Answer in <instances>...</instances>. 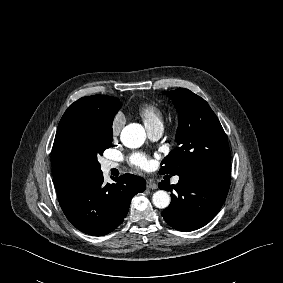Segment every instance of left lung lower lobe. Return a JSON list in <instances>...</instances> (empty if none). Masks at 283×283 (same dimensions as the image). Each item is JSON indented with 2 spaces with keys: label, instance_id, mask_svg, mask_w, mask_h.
<instances>
[{
  "label": "left lung lower lobe",
  "instance_id": "0a47b994",
  "mask_svg": "<svg viewBox=\"0 0 283 283\" xmlns=\"http://www.w3.org/2000/svg\"><path fill=\"white\" fill-rule=\"evenodd\" d=\"M158 186L171 192V203L162 212L165 221L179 231L189 232L215 217L228 194L230 179L181 174L176 185L161 181Z\"/></svg>",
  "mask_w": 283,
  "mask_h": 283
}]
</instances>
